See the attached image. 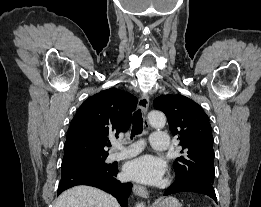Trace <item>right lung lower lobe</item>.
Here are the masks:
<instances>
[{"label": "right lung lower lobe", "instance_id": "obj_1", "mask_svg": "<svg viewBox=\"0 0 261 207\" xmlns=\"http://www.w3.org/2000/svg\"><path fill=\"white\" fill-rule=\"evenodd\" d=\"M118 166L109 164L105 168L80 169L62 173L57 195L76 185H89L112 194L122 207H128L127 200L132 191L131 182H120L116 177Z\"/></svg>", "mask_w": 261, "mask_h": 207}]
</instances>
